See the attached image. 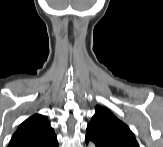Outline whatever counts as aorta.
Here are the masks:
<instances>
[{
	"label": "aorta",
	"mask_w": 163,
	"mask_h": 147,
	"mask_svg": "<svg viewBox=\"0 0 163 147\" xmlns=\"http://www.w3.org/2000/svg\"><path fill=\"white\" fill-rule=\"evenodd\" d=\"M89 146H90V147H93V144H92V143H90V144H89Z\"/></svg>",
	"instance_id": "aorta-1"
}]
</instances>
